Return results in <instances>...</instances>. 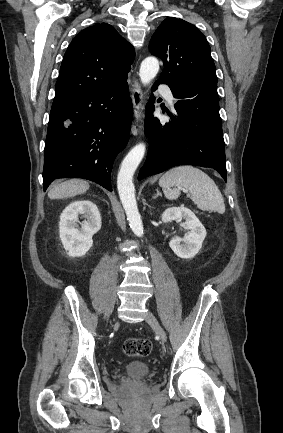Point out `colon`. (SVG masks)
<instances>
[{
    "mask_svg": "<svg viewBox=\"0 0 283 433\" xmlns=\"http://www.w3.org/2000/svg\"><path fill=\"white\" fill-rule=\"evenodd\" d=\"M151 350L152 343L145 338H130L123 344V352L130 357H145Z\"/></svg>",
    "mask_w": 283,
    "mask_h": 433,
    "instance_id": "1",
    "label": "colon"
}]
</instances>
